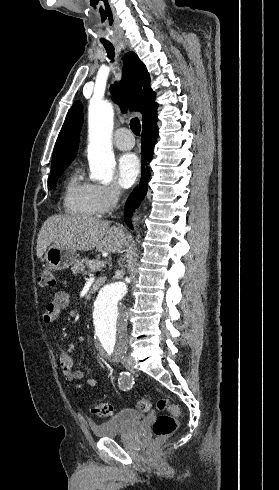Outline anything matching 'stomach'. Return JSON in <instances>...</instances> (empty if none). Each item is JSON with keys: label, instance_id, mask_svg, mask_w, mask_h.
Segmentation results:
<instances>
[{"label": "stomach", "instance_id": "stomach-1", "mask_svg": "<svg viewBox=\"0 0 279 490\" xmlns=\"http://www.w3.org/2000/svg\"><path fill=\"white\" fill-rule=\"evenodd\" d=\"M78 256L79 254H76L74 250L50 246L44 256V260H46L52 270H66V268H70L72 264L77 262Z\"/></svg>", "mask_w": 279, "mask_h": 490}]
</instances>
